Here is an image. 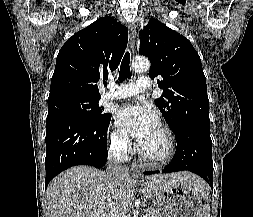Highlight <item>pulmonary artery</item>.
Returning <instances> with one entry per match:
<instances>
[{"label":"pulmonary artery","instance_id":"obj_1","mask_svg":"<svg viewBox=\"0 0 253 217\" xmlns=\"http://www.w3.org/2000/svg\"><path fill=\"white\" fill-rule=\"evenodd\" d=\"M151 87V79L147 76H141L135 83H127L115 85L111 83L109 90L104 94V99L114 100L122 99L130 96L137 95L147 91Z\"/></svg>","mask_w":253,"mask_h":217}]
</instances>
